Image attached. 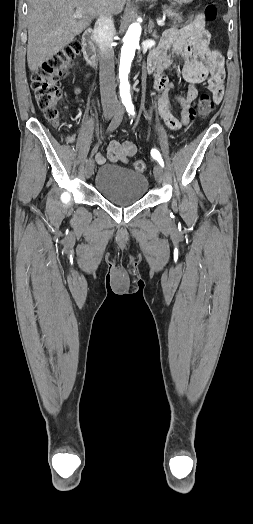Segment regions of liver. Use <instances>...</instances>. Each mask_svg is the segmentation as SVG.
<instances>
[{
  "mask_svg": "<svg viewBox=\"0 0 253 524\" xmlns=\"http://www.w3.org/2000/svg\"><path fill=\"white\" fill-rule=\"evenodd\" d=\"M126 0H28L27 62L36 71L105 11L117 15ZM80 10L81 15L76 11Z\"/></svg>",
  "mask_w": 253,
  "mask_h": 524,
  "instance_id": "1",
  "label": "liver"
}]
</instances>
